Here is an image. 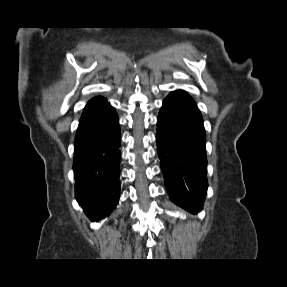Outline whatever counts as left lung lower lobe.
Returning <instances> with one entry per match:
<instances>
[{
	"mask_svg": "<svg viewBox=\"0 0 287 287\" xmlns=\"http://www.w3.org/2000/svg\"><path fill=\"white\" fill-rule=\"evenodd\" d=\"M156 140L171 200L191 213L199 212L208 186L205 129L195 101L183 90L164 99Z\"/></svg>",
	"mask_w": 287,
	"mask_h": 287,
	"instance_id": "0a47b994",
	"label": "left lung lower lobe"
}]
</instances>
